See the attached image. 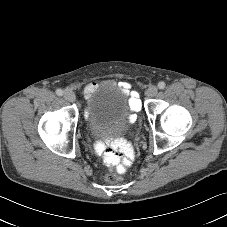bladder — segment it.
I'll return each mask as SVG.
<instances>
[{
    "label": "bladder",
    "mask_w": 227,
    "mask_h": 227,
    "mask_svg": "<svg viewBox=\"0 0 227 227\" xmlns=\"http://www.w3.org/2000/svg\"><path fill=\"white\" fill-rule=\"evenodd\" d=\"M111 106L114 110H110ZM87 109L90 127L101 137L117 138L130 129L129 97L120 88L96 89L87 98Z\"/></svg>",
    "instance_id": "31cf9c89"
}]
</instances>
